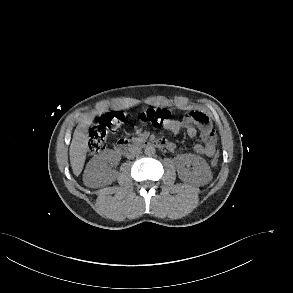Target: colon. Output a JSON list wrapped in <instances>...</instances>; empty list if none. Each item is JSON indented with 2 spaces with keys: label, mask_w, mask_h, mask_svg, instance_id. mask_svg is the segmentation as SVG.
I'll list each match as a JSON object with an SVG mask.
<instances>
[{
  "label": "colon",
  "mask_w": 293,
  "mask_h": 293,
  "mask_svg": "<svg viewBox=\"0 0 293 293\" xmlns=\"http://www.w3.org/2000/svg\"><path fill=\"white\" fill-rule=\"evenodd\" d=\"M173 115V111L167 108H148L139 114L142 123L160 127L165 125ZM186 119L201 123L204 119L197 113L190 112L186 115ZM125 121V115L121 112H109L101 115L96 124L91 128L89 133L87 149L89 154L94 155L105 149L107 145V137L109 132H116ZM219 155L215 154L211 165L216 166Z\"/></svg>",
  "instance_id": "colon-1"
}]
</instances>
